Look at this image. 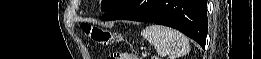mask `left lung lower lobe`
<instances>
[{"instance_id":"1","label":"left lung lower lobe","mask_w":261,"mask_h":59,"mask_svg":"<svg viewBox=\"0 0 261 59\" xmlns=\"http://www.w3.org/2000/svg\"><path fill=\"white\" fill-rule=\"evenodd\" d=\"M101 20H133L175 28L205 47L207 0H123Z\"/></svg>"}]
</instances>
